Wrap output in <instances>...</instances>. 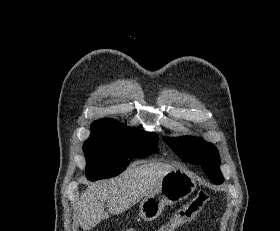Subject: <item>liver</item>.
Wrapping results in <instances>:
<instances>
[{
    "instance_id": "1",
    "label": "liver",
    "mask_w": 280,
    "mask_h": 231,
    "mask_svg": "<svg viewBox=\"0 0 280 231\" xmlns=\"http://www.w3.org/2000/svg\"><path fill=\"white\" fill-rule=\"evenodd\" d=\"M174 167L169 163H144V165H129L121 175L112 179H101L88 183L82 191L77 203L76 213L82 229H91L101 219L108 217L104 209L107 201L110 213H122L131 205H135L142 197L149 195L164 175Z\"/></svg>"
}]
</instances>
